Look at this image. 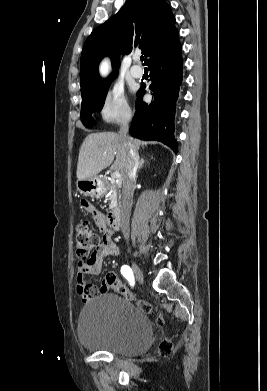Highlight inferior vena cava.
<instances>
[{
    "label": "inferior vena cava",
    "mask_w": 267,
    "mask_h": 391,
    "mask_svg": "<svg viewBox=\"0 0 267 391\" xmlns=\"http://www.w3.org/2000/svg\"><path fill=\"white\" fill-rule=\"evenodd\" d=\"M131 115H126L120 124L119 135L124 140V146L127 149V163L122 179V204H121V230L124 238H129V216L132 206L133 187L136 178V172L139 165V155L135 146L127 141L129 121Z\"/></svg>",
    "instance_id": "602c4592"
}]
</instances>
